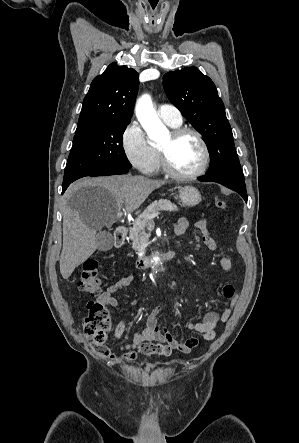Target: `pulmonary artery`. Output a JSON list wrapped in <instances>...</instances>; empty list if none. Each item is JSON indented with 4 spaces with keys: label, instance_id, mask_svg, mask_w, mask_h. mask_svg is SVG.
Instances as JSON below:
<instances>
[{
    "label": "pulmonary artery",
    "instance_id": "obj_1",
    "mask_svg": "<svg viewBox=\"0 0 299 443\" xmlns=\"http://www.w3.org/2000/svg\"><path fill=\"white\" fill-rule=\"evenodd\" d=\"M158 114L165 122L180 125L182 116L180 111L173 105L163 104L158 107Z\"/></svg>",
    "mask_w": 299,
    "mask_h": 443
}]
</instances>
